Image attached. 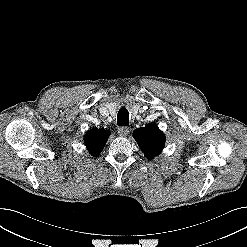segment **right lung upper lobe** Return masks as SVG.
Masks as SVG:
<instances>
[{"mask_svg":"<svg viewBox=\"0 0 247 247\" xmlns=\"http://www.w3.org/2000/svg\"><path fill=\"white\" fill-rule=\"evenodd\" d=\"M110 132L94 128L89 130L84 137L85 145L92 156H97L104 148Z\"/></svg>","mask_w":247,"mask_h":247,"instance_id":"right-lung-upper-lobe-1","label":"right lung upper lobe"}]
</instances>
